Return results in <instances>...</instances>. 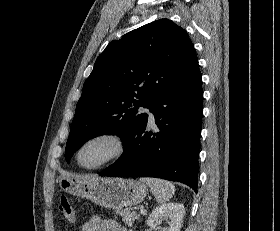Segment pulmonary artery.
<instances>
[{
    "mask_svg": "<svg viewBox=\"0 0 280 231\" xmlns=\"http://www.w3.org/2000/svg\"><path fill=\"white\" fill-rule=\"evenodd\" d=\"M146 113H152L150 110H145ZM149 123H154V118H148Z\"/></svg>",
    "mask_w": 280,
    "mask_h": 231,
    "instance_id": "1",
    "label": "pulmonary artery"
}]
</instances>
